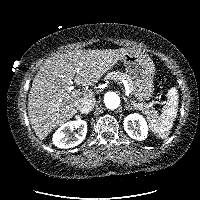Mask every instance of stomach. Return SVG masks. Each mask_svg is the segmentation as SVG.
<instances>
[{"mask_svg": "<svg viewBox=\"0 0 200 200\" xmlns=\"http://www.w3.org/2000/svg\"><path fill=\"white\" fill-rule=\"evenodd\" d=\"M132 80L133 95L139 101H147L153 94L155 67L152 59L143 51L130 50L121 58Z\"/></svg>", "mask_w": 200, "mask_h": 200, "instance_id": "1", "label": "stomach"}]
</instances>
